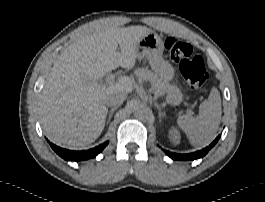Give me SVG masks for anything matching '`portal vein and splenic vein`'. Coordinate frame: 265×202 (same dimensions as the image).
<instances>
[{
    "label": "portal vein and splenic vein",
    "mask_w": 265,
    "mask_h": 202,
    "mask_svg": "<svg viewBox=\"0 0 265 202\" xmlns=\"http://www.w3.org/2000/svg\"><path fill=\"white\" fill-rule=\"evenodd\" d=\"M116 76L114 74L107 75L105 81H102L105 84H112L115 81ZM121 78V77H120Z\"/></svg>",
    "instance_id": "obj_1"
}]
</instances>
